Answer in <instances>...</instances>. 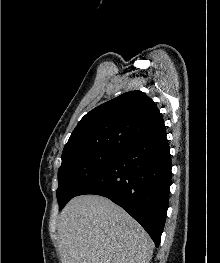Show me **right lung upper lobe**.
Here are the masks:
<instances>
[{
	"mask_svg": "<svg viewBox=\"0 0 220 263\" xmlns=\"http://www.w3.org/2000/svg\"><path fill=\"white\" fill-rule=\"evenodd\" d=\"M164 133V120L153 100L141 91H130L88 112L72 132L63 154L91 148L124 150Z\"/></svg>",
	"mask_w": 220,
	"mask_h": 263,
	"instance_id": "1",
	"label": "right lung upper lobe"
}]
</instances>
